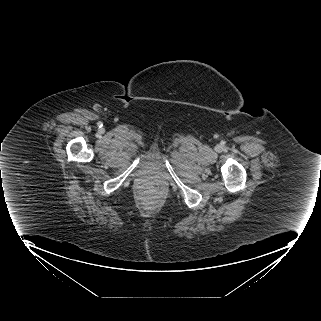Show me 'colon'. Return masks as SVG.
Here are the masks:
<instances>
[{
    "label": "colon",
    "mask_w": 321,
    "mask_h": 321,
    "mask_svg": "<svg viewBox=\"0 0 321 321\" xmlns=\"http://www.w3.org/2000/svg\"><path fill=\"white\" fill-rule=\"evenodd\" d=\"M150 192H151V193H155V189H154V188H151V189H150Z\"/></svg>",
    "instance_id": "5ec220e1"
}]
</instances>
